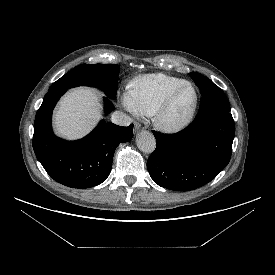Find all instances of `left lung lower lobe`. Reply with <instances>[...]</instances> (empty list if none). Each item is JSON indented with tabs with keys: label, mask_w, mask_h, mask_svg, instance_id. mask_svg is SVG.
<instances>
[{
	"label": "left lung lower lobe",
	"mask_w": 275,
	"mask_h": 275,
	"mask_svg": "<svg viewBox=\"0 0 275 275\" xmlns=\"http://www.w3.org/2000/svg\"><path fill=\"white\" fill-rule=\"evenodd\" d=\"M157 148L147 161L153 181L174 191H190L213 180L229 163L235 124L231 113L196 116L175 134L153 131Z\"/></svg>",
	"instance_id": "1"
}]
</instances>
